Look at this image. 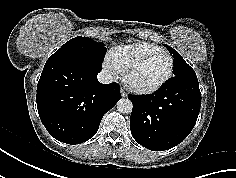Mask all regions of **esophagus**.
<instances>
[{"instance_id":"34e87169","label":"esophagus","mask_w":236,"mask_h":178,"mask_svg":"<svg viewBox=\"0 0 236 178\" xmlns=\"http://www.w3.org/2000/svg\"><path fill=\"white\" fill-rule=\"evenodd\" d=\"M120 92H121V96L122 97H126L127 96V93H126V91L123 88H121Z\"/></svg>"}]
</instances>
